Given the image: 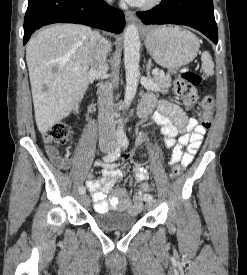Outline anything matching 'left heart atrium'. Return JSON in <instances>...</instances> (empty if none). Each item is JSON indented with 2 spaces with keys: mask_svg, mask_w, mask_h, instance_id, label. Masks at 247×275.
<instances>
[{
  "mask_svg": "<svg viewBox=\"0 0 247 275\" xmlns=\"http://www.w3.org/2000/svg\"><path fill=\"white\" fill-rule=\"evenodd\" d=\"M125 1L128 2L129 4L137 5L141 3L143 0H125Z\"/></svg>",
  "mask_w": 247,
  "mask_h": 275,
  "instance_id": "39dd6f15",
  "label": "left heart atrium"
}]
</instances>
